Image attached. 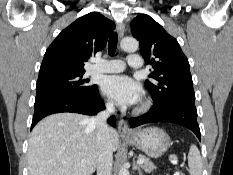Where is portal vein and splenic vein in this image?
<instances>
[{"label":"portal vein and splenic vein","instance_id":"portal-vein-and-splenic-vein-1","mask_svg":"<svg viewBox=\"0 0 233 175\" xmlns=\"http://www.w3.org/2000/svg\"><path fill=\"white\" fill-rule=\"evenodd\" d=\"M145 162L144 158H138L137 160V164H143ZM83 163H85V160L83 161Z\"/></svg>","mask_w":233,"mask_h":175}]
</instances>
